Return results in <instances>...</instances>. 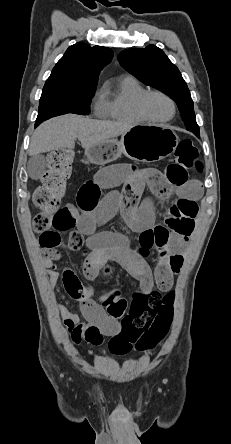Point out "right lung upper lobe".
I'll list each match as a JSON object with an SVG mask.
<instances>
[{"instance_id":"obj_1","label":"right lung upper lobe","mask_w":231,"mask_h":444,"mask_svg":"<svg viewBox=\"0 0 231 444\" xmlns=\"http://www.w3.org/2000/svg\"><path fill=\"white\" fill-rule=\"evenodd\" d=\"M112 57L110 48L78 42L57 62L43 89L96 88L100 71Z\"/></svg>"}]
</instances>
